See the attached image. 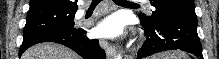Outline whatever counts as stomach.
Wrapping results in <instances>:
<instances>
[{
	"label": "stomach",
	"mask_w": 219,
	"mask_h": 59,
	"mask_svg": "<svg viewBox=\"0 0 219 59\" xmlns=\"http://www.w3.org/2000/svg\"><path fill=\"white\" fill-rule=\"evenodd\" d=\"M163 57H167V56H164V55H159V56H157V58H156V59H166V58H163Z\"/></svg>",
	"instance_id": "stomach-1"
}]
</instances>
